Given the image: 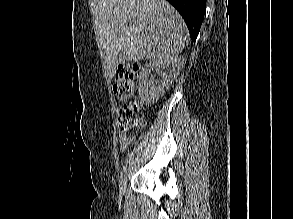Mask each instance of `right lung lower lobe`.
Masks as SVG:
<instances>
[{
	"mask_svg": "<svg viewBox=\"0 0 293 219\" xmlns=\"http://www.w3.org/2000/svg\"><path fill=\"white\" fill-rule=\"evenodd\" d=\"M181 14L195 42L206 10V0H167Z\"/></svg>",
	"mask_w": 293,
	"mask_h": 219,
	"instance_id": "1",
	"label": "right lung lower lobe"
}]
</instances>
